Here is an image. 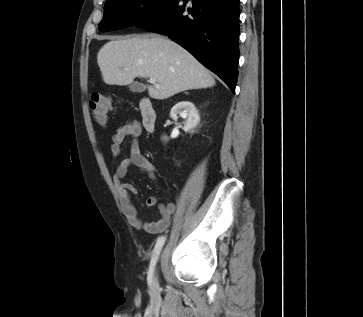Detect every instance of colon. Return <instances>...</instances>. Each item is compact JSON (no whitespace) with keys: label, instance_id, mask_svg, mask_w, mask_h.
Instances as JSON below:
<instances>
[{"label":"colon","instance_id":"obj_1","mask_svg":"<svg viewBox=\"0 0 363 317\" xmlns=\"http://www.w3.org/2000/svg\"><path fill=\"white\" fill-rule=\"evenodd\" d=\"M111 98L100 93H93L89 100V109L94 119L99 124H105L108 119V111Z\"/></svg>","mask_w":363,"mask_h":317}]
</instances>
